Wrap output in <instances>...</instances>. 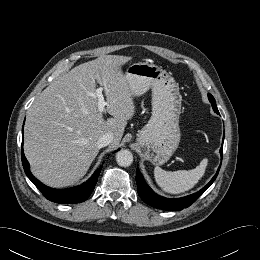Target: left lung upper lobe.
<instances>
[{
    "instance_id": "5c2ea615",
    "label": "left lung upper lobe",
    "mask_w": 260,
    "mask_h": 260,
    "mask_svg": "<svg viewBox=\"0 0 260 260\" xmlns=\"http://www.w3.org/2000/svg\"><path fill=\"white\" fill-rule=\"evenodd\" d=\"M208 98H209V101H210L211 104H212L213 110H214L216 113H219V112H218V109H217V106H216V102H215L214 97H213L211 94H208Z\"/></svg>"
}]
</instances>
